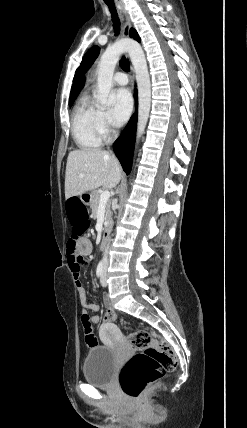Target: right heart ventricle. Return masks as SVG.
Wrapping results in <instances>:
<instances>
[{"mask_svg":"<svg viewBox=\"0 0 247 428\" xmlns=\"http://www.w3.org/2000/svg\"><path fill=\"white\" fill-rule=\"evenodd\" d=\"M99 110L84 96L76 105L72 116V134L77 146L93 150L101 146L103 135L98 123Z\"/></svg>","mask_w":247,"mask_h":428,"instance_id":"e07e8e85","label":"right heart ventricle"}]
</instances>
